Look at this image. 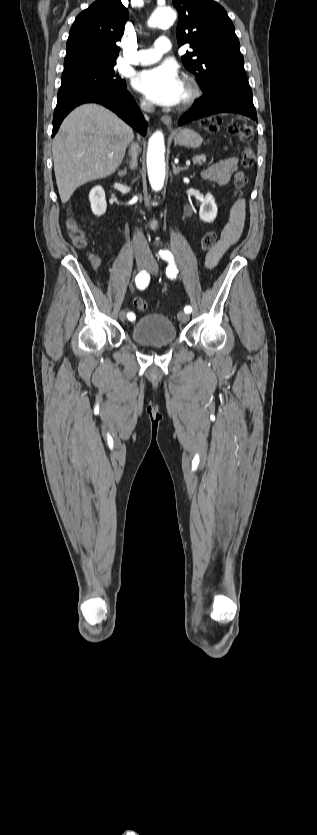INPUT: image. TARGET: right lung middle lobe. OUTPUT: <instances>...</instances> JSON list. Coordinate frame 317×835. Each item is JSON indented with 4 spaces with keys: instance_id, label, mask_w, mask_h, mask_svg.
<instances>
[{
    "instance_id": "obj_1",
    "label": "right lung middle lobe",
    "mask_w": 317,
    "mask_h": 835,
    "mask_svg": "<svg viewBox=\"0 0 317 835\" xmlns=\"http://www.w3.org/2000/svg\"><path fill=\"white\" fill-rule=\"evenodd\" d=\"M115 64L89 59L66 61L58 97L95 86L125 88V81L113 69Z\"/></svg>"
}]
</instances>
